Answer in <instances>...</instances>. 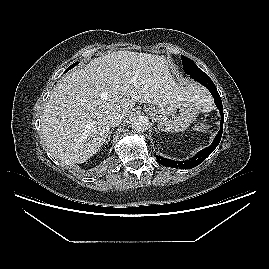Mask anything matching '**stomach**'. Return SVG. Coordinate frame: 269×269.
Listing matches in <instances>:
<instances>
[{
	"instance_id": "0dacf381",
	"label": "stomach",
	"mask_w": 269,
	"mask_h": 269,
	"mask_svg": "<svg viewBox=\"0 0 269 269\" xmlns=\"http://www.w3.org/2000/svg\"><path fill=\"white\" fill-rule=\"evenodd\" d=\"M145 111L164 132H183L193 123L199 114L191 101L177 102L166 106H145Z\"/></svg>"
}]
</instances>
